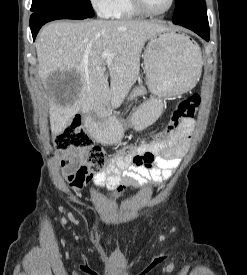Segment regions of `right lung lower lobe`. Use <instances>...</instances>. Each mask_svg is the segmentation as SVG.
<instances>
[{
	"mask_svg": "<svg viewBox=\"0 0 247 275\" xmlns=\"http://www.w3.org/2000/svg\"><path fill=\"white\" fill-rule=\"evenodd\" d=\"M88 16L78 15L60 10L34 12L30 17V28L35 40L39 29L47 22L58 19H86Z\"/></svg>",
	"mask_w": 247,
	"mask_h": 275,
	"instance_id": "obj_1",
	"label": "right lung lower lobe"
}]
</instances>
